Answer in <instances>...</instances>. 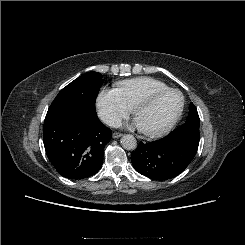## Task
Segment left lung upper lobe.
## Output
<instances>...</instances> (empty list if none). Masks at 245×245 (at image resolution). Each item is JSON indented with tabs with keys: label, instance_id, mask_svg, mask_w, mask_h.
<instances>
[{
	"label": "left lung upper lobe",
	"instance_id": "left-lung-upper-lobe-1",
	"mask_svg": "<svg viewBox=\"0 0 245 245\" xmlns=\"http://www.w3.org/2000/svg\"><path fill=\"white\" fill-rule=\"evenodd\" d=\"M168 136H191L199 138V115L193 103H190V111L186 122L173 130Z\"/></svg>",
	"mask_w": 245,
	"mask_h": 245
}]
</instances>
